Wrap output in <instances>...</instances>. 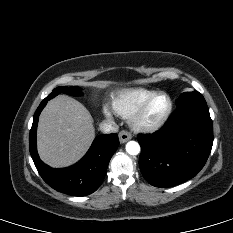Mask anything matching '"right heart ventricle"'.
<instances>
[{
	"label": "right heart ventricle",
	"instance_id": "right-heart-ventricle-1",
	"mask_svg": "<svg viewBox=\"0 0 233 233\" xmlns=\"http://www.w3.org/2000/svg\"><path fill=\"white\" fill-rule=\"evenodd\" d=\"M155 92V90L147 88H132L120 91L112 100V108L119 116L129 118Z\"/></svg>",
	"mask_w": 233,
	"mask_h": 233
}]
</instances>
